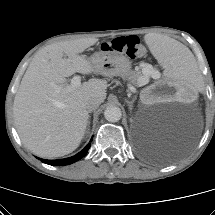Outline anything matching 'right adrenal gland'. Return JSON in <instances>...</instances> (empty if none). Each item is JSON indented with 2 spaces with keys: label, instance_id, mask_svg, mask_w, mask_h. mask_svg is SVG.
Segmentation results:
<instances>
[{
  "label": "right adrenal gland",
  "instance_id": "2a0ac1e0",
  "mask_svg": "<svg viewBox=\"0 0 215 215\" xmlns=\"http://www.w3.org/2000/svg\"><path fill=\"white\" fill-rule=\"evenodd\" d=\"M89 118H90V116H89ZM88 127H87V131H86V133H88V131H89V127H90V119L88 120Z\"/></svg>",
  "mask_w": 215,
  "mask_h": 215
}]
</instances>
